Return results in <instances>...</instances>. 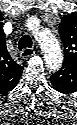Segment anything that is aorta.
I'll return each instance as SVG.
<instances>
[{"instance_id": "aorta-1", "label": "aorta", "mask_w": 77, "mask_h": 125, "mask_svg": "<svg viewBox=\"0 0 77 125\" xmlns=\"http://www.w3.org/2000/svg\"><path fill=\"white\" fill-rule=\"evenodd\" d=\"M36 38L44 53L47 67L57 69L62 63V52L55 36L46 30L37 33Z\"/></svg>"}]
</instances>
